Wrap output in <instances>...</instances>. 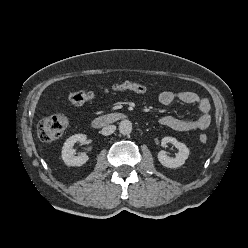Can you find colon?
Masks as SVG:
<instances>
[{
	"instance_id": "colon-1",
	"label": "colon",
	"mask_w": 248,
	"mask_h": 248,
	"mask_svg": "<svg viewBox=\"0 0 248 248\" xmlns=\"http://www.w3.org/2000/svg\"><path fill=\"white\" fill-rule=\"evenodd\" d=\"M147 87L138 82H122L107 87L102 91H74L69 95V100L75 105H81L86 102L94 101L102 96L111 95L117 92L131 91L136 93L147 92ZM68 124L67 117L62 113L46 116L42 118L38 125V136L44 141H53L61 136ZM199 140L206 143L208 137L206 134H201Z\"/></svg>"
}]
</instances>
